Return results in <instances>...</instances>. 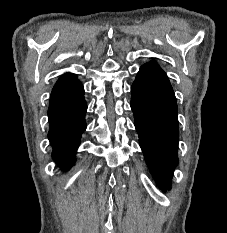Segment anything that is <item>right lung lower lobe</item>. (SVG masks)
<instances>
[{
  "mask_svg": "<svg viewBox=\"0 0 227 233\" xmlns=\"http://www.w3.org/2000/svg\"><path fill=\"white\" fill-rule=\"evenodd\" d=\"M86 110L84 89L79 80L51 95L48 138L53 147L52 157L63 170L75 162L81 135L86 129Z\"/></svg>",
  "mask_w": 227,
  "mask_h": 233,
  "instance_id": "obj_1",
  "label": "right lung lower lobe"
}]
</instances>
